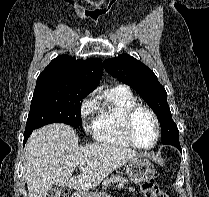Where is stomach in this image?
<instances>
[{"mask_svg":"<svg viewBox=\"0 0 209 197\" xmlns=\"http://www.w3.org/2000/svg\"><path fill=\"white\" fill-rule=\"evenodd\" d=\"M126 173L129 179L134 183L149 181L154 173V165L144 155L136 156L126 164ZM78 197H110L105 192H80Z\"/></svg>","mask_w":209,"mask_h":197,"instance_id":"obj_1","label":"stomach"}]
</instances>
